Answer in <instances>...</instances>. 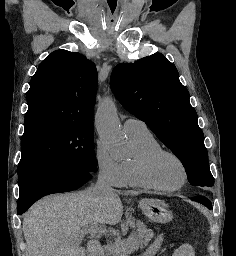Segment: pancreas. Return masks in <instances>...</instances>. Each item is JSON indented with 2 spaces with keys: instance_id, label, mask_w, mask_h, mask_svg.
I'll return each instance as SVG.
<instances>
[{
  "instance_id": "pancreas-1",
  "label": "pancreas",
  "mask_w": 236,
  "mask_h": 256,
  "mask_svg": "<svg viewBox=\"0 0 236 256\" xmlns=\"http://www.w3.org/2000/svg\"><path fill=\"white\" fill-rule=\"evenodd\" d=\"M131 219H126L125 224H131ZM136 235L138 238H122L121 242L119 238L115 240V254H121V250H135L136 247L148 246V242H150L151 238H153V232H148V227L145 224H138L135 228Z\"/></svg>"
}]
</instances>
